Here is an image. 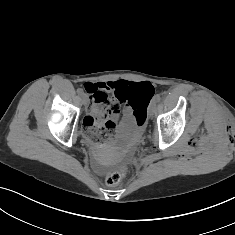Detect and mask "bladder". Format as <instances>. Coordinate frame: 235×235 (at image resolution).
Masks as SVG:
<instances>
[{"label": "bladder", "instance_id": "1", "mask_svg": "<svg viewBox=\"0 0 235 235\" xmlns=\"http://www.w3.org/2000/svg\"><path fill=\"white\" fill-rule=\"evenodd\" d=\"M117 135L123 141L130 140L136 136V128L132 123H123L119 126Z\"/></svg>", "mask_w": 235, "mask_h": 235}]
</instances>
